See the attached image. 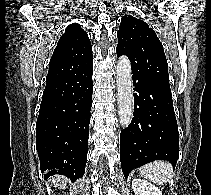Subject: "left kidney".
I'll use <instances>...</instances> for the list:
<instances>
[{"label":"left kidney","instance_id":"obj_1","mask_svg":"<svg viewBox=\"0 0 211 195\" xmlns=\"http://www.w3.org/2000/svg\"><path fill=\"white\" fill-rule=\"evenodd\" d=\"M132 189L135 195H162V192L156 186L141 178L132 180Z\"/></svg>","mask_w":211,"mask_h":195}]
</instances>
